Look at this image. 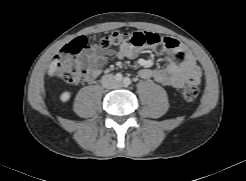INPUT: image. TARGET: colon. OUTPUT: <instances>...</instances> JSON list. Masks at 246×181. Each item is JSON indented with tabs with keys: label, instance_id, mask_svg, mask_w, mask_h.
<instances>
[{
	"label": "colon",
	"instance_id": "colon-1",
	"mask_svg": "<svg viewBox=\"0 0 246 181\" xmlns=\"http://www.w3.org/2000/svg\"><path fill=\"white\" fill-rule=\"evenodd\" d=\"M103 47L129 43L135 48L150 47L166 43V37L157 33L138 31L133 33L113 31L105 35L101 41ZM87 47L85 36H79L66 45L60 55L56 57L52 65V71L61 80L80 85L87 81L88 72L81 61L79 54ZM199 95V87L196 84H187L183 88V96L186 100H194Z\"/></svg>",
	"mask_w": 246,
	"mask_h": 181
}]
</instances>
